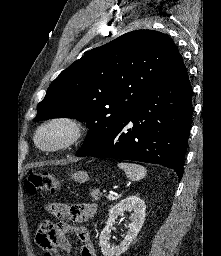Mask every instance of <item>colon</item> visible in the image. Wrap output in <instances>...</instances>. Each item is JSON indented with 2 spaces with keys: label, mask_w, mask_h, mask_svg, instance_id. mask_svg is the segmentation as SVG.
I'll list each match as a JSON object with an SVG mask.
<instances>
[{
  "label": "colon",
  "mask_w": 221,
  "mask_h": 256,
  "mask_svg": "<svg viewBox=\"0 0 221 256\" xmlns=\"http://www.w3.org/2000/svg\"><path fill=\"white\" fill-rule=\"evenodd\" d=\"M58 186L57 179L48 172H30L25 182V188L30 194L39 191H55Z\"/></svg>",
  "instance_id": "obj_1"
}]
</instances>
